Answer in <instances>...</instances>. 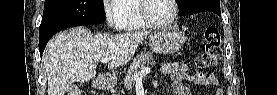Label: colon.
Segmentation results:
<instances>
[{"label":"colon","mask_w":277,"mask_h":95,"mask_svg":"<svg viewBox=\"0 0 277 95\" xmlns=\"http://www.w3.org/2000/svg\"><path fill=\"white\" fill-rule=\"evenodd\" d=\"M205 47L196 58V65L199 69L209 70L216 65L222 57V38L219 30L214 27L207 28L204 32ZM68 95H85V92L75 86L68 89Z\"/></svg>","instance_id":"obj_1"}]
</instances>
